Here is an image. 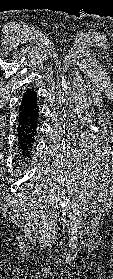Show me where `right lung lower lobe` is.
<instances>
[{
    "label": "right lung lower lobe",
    "instance_id": "1",
    "mask_svg": "<svg viewBox=\"0 0 113 279\" xmlns=\"http://www.w3.org/2000/svg\"><path fill=\"white\" fill-rule=\"evenodd\" d=\"M38 109L36 92L33 89H28L19 107L20 115L17 128L18 146L24 157L28 156L29 149L32 148L34 142L39 116Z\"/></svg>",
    "mask_w": 113,
    "mask_h": 279
}]
</instances>
